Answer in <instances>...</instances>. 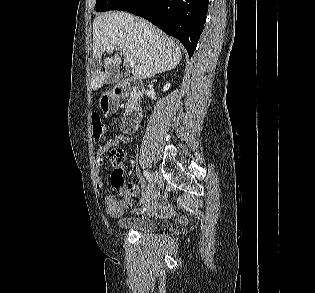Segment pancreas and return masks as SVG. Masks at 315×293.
Returning a JSON list of instances; mask_svg holds the SVG:
<instances>
[{
  "mask_svg": "<svg viewBox=\"0 0 315 293\" xmlns=\"http://www.w3.org/2000/svg\"><path fill=\"white\" fill-rule=\"evenodd\" d=\"M136 102H137V94L132 93L130 98L128 99L127 107L131 105L132 103H136Z\"/></svg>",
  "mask_w": 315,
  "mask_h": 293,
  "instance_id": "pancreas-1",
  "label": "pancreas"
}]
</instances>
